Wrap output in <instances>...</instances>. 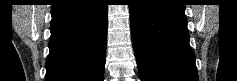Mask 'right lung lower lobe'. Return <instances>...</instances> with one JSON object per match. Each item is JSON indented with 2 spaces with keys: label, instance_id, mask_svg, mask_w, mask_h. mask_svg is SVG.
I'll return each instance as SVG.
<instances>
[{
  "label": "right lung lower lobe",
  "instance_id": "98d812e1",
  "mask_svg": "<svg viewBox=\"0 0 237 81\" xmlns=\"http://www.w3.org/2000/svg\"><path fill=\"white\" fill-rule=\"evenodd\" d=\"M45 81H103L107 4L59 0L51 9Z\"/></svg>",
  "mask_w": 237,
  "mask_h": 81
}]
</instances>
